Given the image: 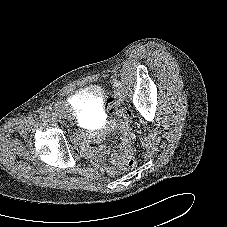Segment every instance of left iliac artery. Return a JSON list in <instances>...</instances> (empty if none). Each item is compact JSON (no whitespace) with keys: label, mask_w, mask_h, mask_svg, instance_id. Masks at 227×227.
I'll return each mask as SVG.
<instances>
[{"label":"left iliac artery","mask_w":227,"mask_h":227,"mask_svg":"<svg viewBox=\"0 0 227 227\" xmlns=\"http://www.w3.org/2000/svg\"><path fill=\"white\" fill-rule=\"evenodd\" d=\"M114 86L117 88V89H120L122 86H121V83L119 81H115L114 83Z\"/></svg>","instance_id":"1"}]
</instances>
